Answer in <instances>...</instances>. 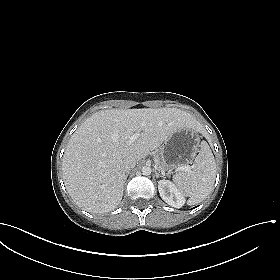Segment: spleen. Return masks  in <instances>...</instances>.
Wrapping results in <instances>:
<instances>
[{
	"label": "spleen",
	"instance_id": "3e777b00",
	"mask_svg": "<svg viewBox=\"0 0 280 280\" xmlns=\"http://www.w3.org/2000/svg\"><path fill=\"white\" fill-rule=\"evenodd\" d=\"M200 147L191 168L173 176V182L179 191L189 197V205L203 201L212 190L216 178V163L209 145L202 142Z\"/></svg>",
	"mask_w": 280,
	"mask_h": 280
}]
</instances>
